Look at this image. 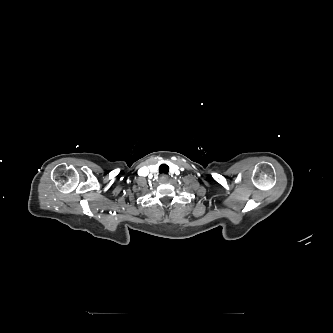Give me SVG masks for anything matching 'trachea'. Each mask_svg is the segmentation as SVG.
<instances>
[{
  "mask_svg": "<svg viewBox=\"0 0 333 333\" xmlns=\"http://www.w3.org/2000/svg\"><path fill=\"white\" fill-rule=\"evenodd\" d=\"M159 172H160L161 174H168V172H169V167H168V165H166V164H162V165H160V167H159Z\"/></svg>",
  "mask_w": 333,
  "mask_h": 333,
  "instance_id": "1",
  "label": "trachea"
}]
</instances>
